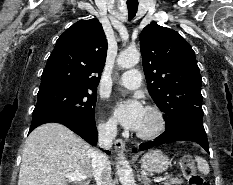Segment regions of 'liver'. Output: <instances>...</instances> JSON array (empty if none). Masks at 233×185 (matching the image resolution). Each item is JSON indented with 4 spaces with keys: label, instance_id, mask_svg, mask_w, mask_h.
I'll return each instance as SVG.
<instances>
[{
    "label": "liver",
    "instance_id": "6515ba94",
    "mask_svg": "<svg viewBox=\"0 0 233 185\" xmlns=\"http://www.w3.org/2000/svg\"><path fill=\"white\" fill-rule=\"evenodd\" d=\"M95 152L67 127L43 124L25 141L18 185H67L64 175L68 173L86 176L75 185H89Z\"/></svg>",
    "mask_w": 233,
    "mask_h": 185
}]
</instances>
